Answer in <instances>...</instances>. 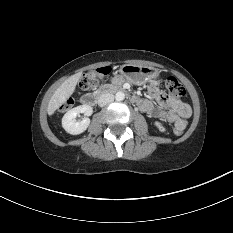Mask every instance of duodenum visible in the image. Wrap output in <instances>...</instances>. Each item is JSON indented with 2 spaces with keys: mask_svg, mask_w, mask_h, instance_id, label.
<instances>
[{
  "mask_svg": "<svg viewBox=\"0 0 233 233\" xmlns=\"http://www.w3.org/2000/svg\"><path fill=\"white\" fill-rule=\"evenodd\" d=\"M122 88L116 84H111L108 85L106 87H104L103 89H101L98 92H92V93H87L85 94L81 101L83 104L85 105H94L97 103V101L105 94L111 93V92H116V91H121ZM131 100L134 103H139V98L135 95H131Z\"/></svg>",
  "mask_w": 233,
  "mask_h": 233,
  "instance_id": "410a0bca",
  "label": "duodenum"
}]
</instances>
